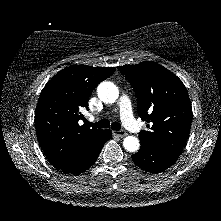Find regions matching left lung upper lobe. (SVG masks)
<instances>
[{
    "label": "left lung upper lobe",
    "instance_id": "1",
    "mask_svg": "<svg viewBox=\"0 0 221 221\" xmlns=\"http://www.w3.org/2000/svg\"><path fill=\"white\" fill-rule=\"evenodd\" d=\"M133 87L138 113L149 131H141V146L180 154L190 134L192 107L182 81L152 62L117 67Z\"/></svg>",
    "mask_w": 221,
    "mask_h": 221
}]
</instances>
